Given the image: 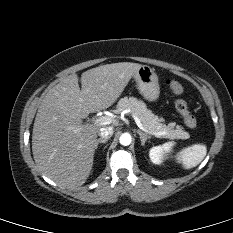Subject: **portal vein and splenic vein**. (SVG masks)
<instances>
[{"label": "portal vein and splenic vein", "instance_id": "obj_1", "mask_svg": "<svg viewBox=\"0 0 233 233\" xmlns=\"http://www.w3.org/2000/svg\"><path fill=\"white\" fill-rule=\"evenodd\" d=\"M135 123L137 124V126L145 133L147 134H150V135H153V136H156V137H161L163 135H166V132H150L148 131L144 126L143 124L141 123L140 119L135 115L133 114L132 115ZM112 122H114V118L112 117H109V116H102V117H99L98 119L95 120V123L96 124H99V125H108V124H111Z\"/></svg>", "mask_w": 233, "mask_h": 233}]
</instances>
